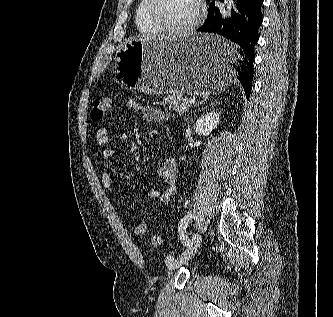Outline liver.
<instances>
[{
	"label": "liver",
	"mask_w": 333,
	"mask_h": 317,
	"mask_svg": "<svg viewBox=\"0 0 333 317\" xmlns=\"http://www.w3.org/2000/svg\"><path fill=\"white\" fill-rule=\"evenodd\" d=\"M172 36H158V37H150V36H144V35H139L136 37H132L129 40H149V39H160V38H171Z\"/></svg>",
	"instance_id": "liver-1"
}]
</instances>
